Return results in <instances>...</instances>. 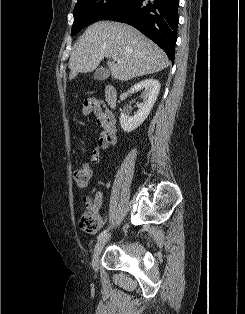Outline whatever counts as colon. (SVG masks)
I'll list each match as a JSON object with an SVG mask.
<instances>
[{"label": "colon", "instance_id": "colon-1", "mask_svg": "<svg viewBox=\"0 0 245 314\" xmlns=\"http://www.w3.org/2000/svg\"><path fill=\"white\" fill-rule=\"evenodd\" d=\"M91 167L86 162H81L73 171V179L76 185L84 189L89 185L91 179ZM86 210L81 214L79 225L86 232H94L100 226V215L95 206V198L86 197L84 199Z\"/></svg>", "mask_w": 245, "mask_h": 314}]
</instances>
